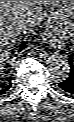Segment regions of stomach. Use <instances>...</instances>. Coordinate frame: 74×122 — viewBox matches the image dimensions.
<instances>
[{
	"mask_svg": "<svg viewBox=\"0 0 74 122\" xmlns=\"http://www.w3.org/2000/svg\"><path fill=\"white\" fill-rule=\"evenodd\" d=\"M74 17V1H55L52 18L57 22H66Z\"/></svg>",
	"mask_w": 74,
	"mask_h": 122,
	"instance_id": "obj_1",
	"label": "stomach"
}]
</instances>
